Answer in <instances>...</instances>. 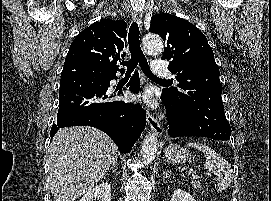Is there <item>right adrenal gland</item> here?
Returning <instances> with one entry per match:
<instances>
[{
  "mask_svg": "<svg viewBox=\"0 0 271 201\" xmlns=\"http://www.w3.org/2000/svg\"><path fill=\"white\" fill-rule=\"evenodd\" d=\"M116 165H117V159L113 162L111 168H109V172L112 170L113 173H115V168H116Z\"/></svg>",
  "mask_w": 271,
  "mask_h": 201,
  "instance_id": "1",
  "label": "right adrenal gland"
}]
</instances>
